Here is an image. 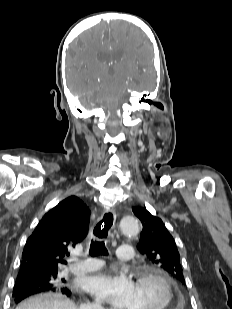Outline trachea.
Wrapping results in <instances>:
<instances>
[{
	"instance_id": "3493384b",
	"label": "trachea",
	"mask_w": 232,
	"mask_h": 309,
	"mask_svg": "<svg viewBox=\"0 0 232 309\" xmlns=\"http://www.w3.org/2000/svg\"><path fill=\"white\" fill-rule=\"evenodd\" d=\"M89 254L93 257L97 255H108V250L106 249L104 242L92 240L89 249Z\"/></svg>"
}]
</instances>
